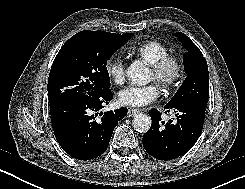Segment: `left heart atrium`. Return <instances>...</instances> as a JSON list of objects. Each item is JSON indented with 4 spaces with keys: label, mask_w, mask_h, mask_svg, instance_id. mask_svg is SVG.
Instances as JSON below:
<instances>
[{
    "label": "left heart atrium",
    "mask_w": 245,
    "mask_h": 189,
    "mask_svg": "<svg viewBox=\"0 0 245 189\" xmlns=\"http://www.w3.org/2000/svg\"><path fill=\"white\" fill-rule=\"evenodd\" d=\"M158 96L159 89L155 84L129 85L118 93V100L124 106L141 107L151 103Z\"/></svg>",
    "instance_id": "left-heart-atrium-1"
}]
</instances>
